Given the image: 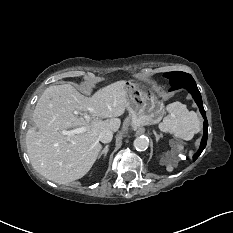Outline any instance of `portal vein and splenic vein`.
<instances>
[{
    "label": "portal vein and splenic vein",
    "mask_w": 233,
    "mask_h": 233,
    "mask_svg": "<svg viewBox=\"0 0 233 233\" xmlns=\"http://www.w3.org/2000/svg\"><path fill=\"white\" fill-rule=\"evenodd\" d=\"M85 118H86L87 120H89V117H88V116H85ZM84 131H85V128L81 127V128H77V129L69 130V131H67V130H62L61 133H62L63 135H66V136H71V135H73V134L82 133V132H84Z\"/></svg>",
    "instance_id": "obj_1"
}]
</instances>
